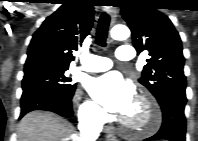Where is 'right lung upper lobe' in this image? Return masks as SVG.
Instances as JSON below:
<instances>
[{
  "mask_svg": "<svg viewBox=\"0 0 198 141\" xmlns=\"http://www.w3.org/2000/svg\"><path fill=\"white\" fill-rule=\"evenodd\" d=\"M91 0H67L46 18L34 33L24 71L40 68H68L73 50L83 42L93 25Z\"/></svg>",
  "mask_w": 198,
  "mask_h": 141,
  "instance_id": "obj_1",
  "label": "right lung upper lobe"
}]
</instances>
